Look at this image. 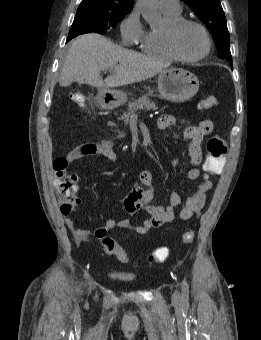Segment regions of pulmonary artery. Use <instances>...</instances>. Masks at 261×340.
<instances>
[{
  "instance_id": "pulmonary-artery-1",
  "label": "pulmonary artery",
  "mask_w": 261,
  "mask_h": 340,
  "mask_svg": "<svg viewBox=\"0 0 261 340\" xmlns=\"http://www.w3.org/2000/svg\"><path fill=\"white\" fill-rule=\"evenodd\" d=\"M159 6L163 11L180 13L182 10L179 0H159Z\"/></svg>"
}]
</instances>
